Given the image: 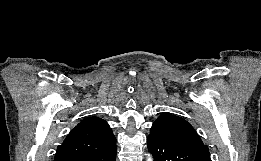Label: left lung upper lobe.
<instances>
[{
    "label": "left lung upper lobe",
    "mask_w": 261,
    "mask_h": 161,
    "mask_svg": "<svg viewBox=\"0 0 261 161\" xmlns=\"http://www.w3.org/2000/svg\"><path fill=\"white\" fill-rule=\"evenodd\" d=\"M149 136L174 145L208 149L187 121L170 113H164L153 123Z\"/></svg>",
    "instance_id": "obj_1"
}]
</instances>
